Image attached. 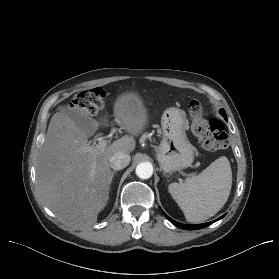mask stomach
<instances>
[{
	"label": "stomach",
	"instance_id": "0dacf381",
	"mask_svg": "<svg viewBox=\"0 0 279 279\" xmlns=\"http://www.w3.org/2000/svg\"><path fill=\"white\" fill-rule=\"evenodd\" d=\"M161 126L163 138L156 151L161 170L172 173L189 167L194 159V147L186 135L188 120L185 112L175 107L166 109Z\"/></svg>",
	"mask_w": 279,
	"mask_h": 279
}]
</instances>
